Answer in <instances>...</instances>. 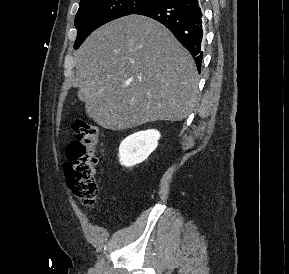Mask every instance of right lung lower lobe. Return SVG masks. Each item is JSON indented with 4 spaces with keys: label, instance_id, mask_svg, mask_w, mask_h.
I'll use <instances>...</instances> for the list:
<instances>
[{
    "label": "right lung lower lobe",
    "instance_id": "obj_1",
    "mask_svg": "<svg viewBox=\"0 0 289 274\" xmlns=\"http://www.w3.org/2000/svg\"><path fill=\"white\" fill-rule=\"evenodd\" d=\"M134 14L153 18L165 25L192 54L200 71L203 27L199 0H157Z\"/></svg>",
    "mask_w": 289,
    "mask_h": 274
}]
</instances>
